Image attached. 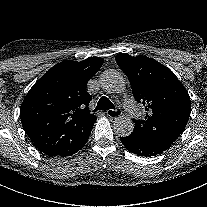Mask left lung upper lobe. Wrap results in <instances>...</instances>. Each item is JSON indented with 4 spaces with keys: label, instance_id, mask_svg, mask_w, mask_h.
<instances>
[{
    "label": "left lung upper lobe",
    "instance_id": "left-lung-upper-lobe-1",
    "mask_svg": "<svg viewBox=\"0 0 207 207\" xmlns=\"http://www.w3.org/2000/svg\"><path fill=\"white\" fill-rule=\"evenodd\" d=\"M115 59L128 77L137 102L145 106V118L135 120L131 135L142 136L164 151L169 149L190 117L187 90L169 68L152 58L119 53Z\"/></svg>",
    "mask_w": 207,
    "mask_h": 207
}]
</instances>
